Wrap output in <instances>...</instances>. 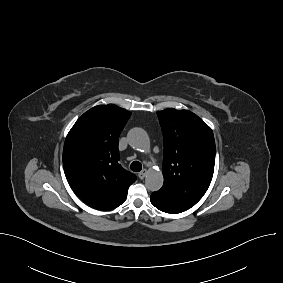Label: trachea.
<instances>
[{
	"mask_svg": "<svg viewBox=\"0 0 283 283\" xmlns=\"http://www.w3.org/2000/svg\"><path fill=\"white\" fill-rule=\"evenodd\" d=\"M130 169L134 172H139L142 169V164L139 161H134L131 163Z\"/></svg>",
	"mask_w": 283,
	"mask_h": 283,
	"instance_id": "3493384b",
	"label": "trachea"
}]
</instances>
